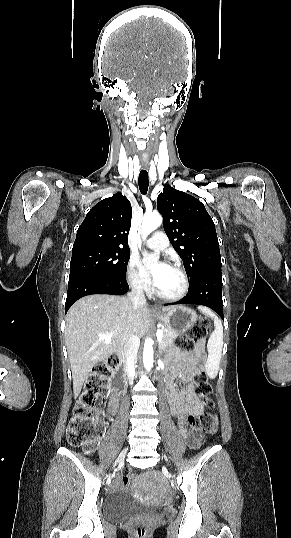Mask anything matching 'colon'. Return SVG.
<instances>
[{"mask_svg":"<svg viewBox=\"0 0 291 538\" xmlns=\"http://www.w3.org/2000/svg\"><path fill=\"white\" fill-rule=\"evenodd\" d=\"M209 327L210 321L207 318H201L176 340V345L183 351H192L196 341L207 332ZM118 357H120L118 354H112L104 362L97 365L89 374L67 427L66 439L71 446H83L88 450H92L97 445L102 434L99 414L105 405L106 384L111 375L115 373L116 365L119 361ZM193 380L196 384L201 402L208 409H212L214 407V403L210 397L212 386L205 373H195ZM189 422L191 423L193 432L200 435H213L216 433L218 427L217 415L212 411L205 412L198 418L189 416ZM130 480V472L125 471L123 483L127 485ZM134 534L136 538H145L147 534L145 523H136Z\"/></svg>","mask_w":291,"mask_h":538,"instance_id":"5ec220e1","label":"colon"}]
</instances>
